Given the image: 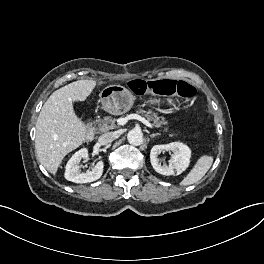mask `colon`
<instances>
[{
	"label": "colon",
	"mask_w": 264,
	"mask_h": 264,
	"mask_svg": "<svg viewBox=\"0 0 264 264\" xmlns=\"http://www.w3.org/2000/svg\"><path fill=\"white\" fill-rule=\"evenodd\" d=\"M130 88L137 95L155 94L163 97L180 96L184 98L195 95L194 88L184 81L160 80L150 82L133 80L130 83Z\"/></svg>",
	"instance_id": "1"
}]
</instances>
